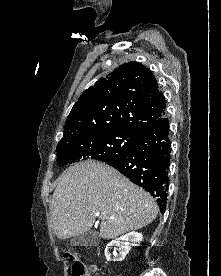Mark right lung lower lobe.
I'll list each match as a JSON object with an SVG mask.
<instances>
[{"label":"right lung lower lobe","mask_w":221,"mask_h":276,"mask_svg":"<svg viewBox=\"0 0 221 276\" xmlns=\"http://www.w3.org/2000/svg\"><path fill=\"white\" fill-rule=\"evenodd\" d=\"M170 153L169 121L163 116L147 131L136 136L128 152L106 163L154 196L163 214L169 185Z\"/></svg>","instance_id":"98d812e1"}]
</instances>
